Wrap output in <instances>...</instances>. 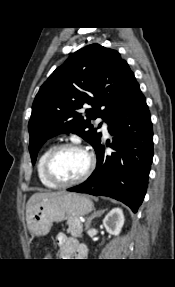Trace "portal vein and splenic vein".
Returning <instances> with one entry per match:
<instances>
[{"mask_svg":"<svg viewBox=\"0 0 175 287\" xmlns=\"http://www.w3.org/2000/svg\"><path fill=\"white\" fill-rule=\"evenodd\" d=\"M84 221H85L84 219H81V220H80V222H84Z\"/></svg>","mask_w":175,"mask_h":287,"instance_id":"18ae733b","label":"portal vein and splenic vein"}]
</instances>
